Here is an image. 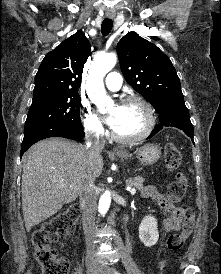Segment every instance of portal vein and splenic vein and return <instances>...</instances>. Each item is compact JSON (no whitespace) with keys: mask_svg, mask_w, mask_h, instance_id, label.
<instances>
[{"mask_svg":"<svg viewBox=\"0 0 221 274\" xmlns=\"http://www.w3.org/2000/svg\"><path fill=\"white\" fill-rule=\"evenodd\" d=\"M127 189L130 191V193H131L132 195H134V194L136 193L135 188H130V187H128Z\"/></svg>","mask_w":221,"mask_h":274,"instance_id":"portal-vein-and-splenic-vein-1","label":"portal vein and splenic vein"}]
</instances>
